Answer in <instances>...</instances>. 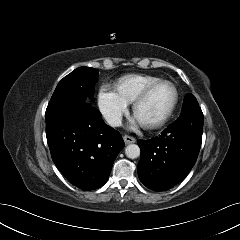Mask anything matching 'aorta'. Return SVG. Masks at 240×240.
Instances as JSON below:
<instances>
[{"label": "aorta", "mask_w": 240, "mask_h": 240, "mask_svg": "<svg viewBox=\"0 0 240 240\" xmlns=\"http://www.w3.org/2000/svg\"><path fill=\"white\" fill-rule=\"evenodd\" d=\"M125 154L130 159H135L140 156V148L136 144H130L125 148Z\"/></svg>", "instance_id": "aorta-1"}]
</instances>
